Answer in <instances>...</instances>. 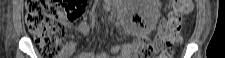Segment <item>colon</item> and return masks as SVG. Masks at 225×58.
I'll use <instances>...</instances> for the list:
<instances>
[{
    "label": "colon",
    "instance_id": "5ec220e1",
    "mask_svg": "<svg viewBox=\"0 0 225 58\" xmlns=\"http://www.w3.org/2000/svg\"><path fill=\"white\" fill-rule=\"evenodd\" d=\"M85 1L28 0L26 25L41 51L48 57L57 56L66 41L62 18L76 20L84 14ZM192 11L190 0H174L168 20L162 25L152 44L136 48L137 58H150L154 54H169L172 45L181 40L183 19Z\"/></svg>",
    "mask_w": 225,
    "mask_h": 58
}]
</instances>
